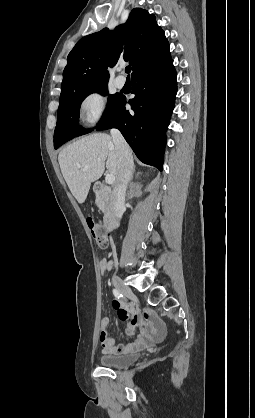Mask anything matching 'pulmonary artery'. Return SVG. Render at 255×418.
<instances>
[{
    "label": "pulmonary artery",
    "mask_w": 255,
    "mask_h": 418,
    "mask_svg": "<svg viewBox=\"0 0 255 418\" xmlns=\"http://www.w3.org/2000/svg\"><path fill=\"white\" fill-rule=\"evenodd\" d=\"M125 82L126 79L122 75L117 76L115 79V84L118 88H122L125 85Z\"/></svg>",
    "instance_id": "pulmonary-artery-1"
}]
</instances>
